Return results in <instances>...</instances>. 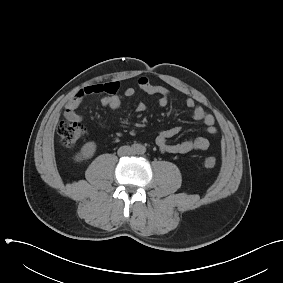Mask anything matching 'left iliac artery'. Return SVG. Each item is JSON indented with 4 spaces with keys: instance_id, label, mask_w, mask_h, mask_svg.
Instances as JSON below:
<instances>
[{
    "instance_id": "obj_1",
    "label": "left iliac artery",
    "mask_w": 283,
    "mask_h": 283,
    "mask_svg": "<svg viewBox=\"0 0 283 283\" xmlns=\"http://www.w3.org/2000/svg\"><path fill=\"white\" fill-rule=\"evenodd\" d=\"M145 152H146V148L143 147V146H141V147L139 148V153H140V154H144Z\"/></svg>"
}]
</instances>
